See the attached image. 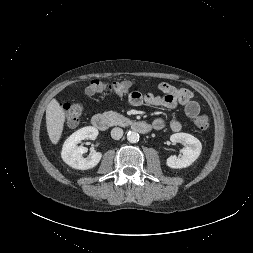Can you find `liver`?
<instances>
[{
    "instance_id": "6515ba94",
    "label": "liver",
    "mask_w": 253,
    "mask_h": 253,
    "mask_svg": "<svg viewBox=\"0 0 253 253\" xmlns=\"http://www.w3.org/2000/svg\"><path fill=\"white\" fill-rule=\"evenodd\" d=\"M65 122V113L56 99H52L46 109L48 136L53 144L60 140Z\"/></svg>"
}]
</instances>
